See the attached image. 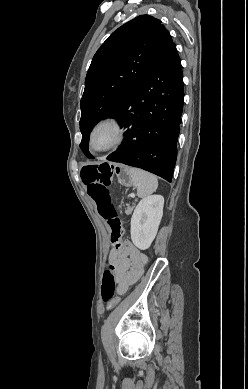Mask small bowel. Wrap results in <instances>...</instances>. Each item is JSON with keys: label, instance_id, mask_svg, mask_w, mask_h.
Segmentation results:
<instances>
[{"label": "small bowel", "instance_id": "small-bowel-1", "mask_svg": "<svg viewBox=\"0 0 248 389\" xmlns=\"http://www.w3.org/2000/svg\"><path fill=\"white\" fill-rule=\"evenodd\" d=\"M109 262L117 269V293L123 295L141 277L148 258L132 243L123 241L119 248L111 250Z\"/></svg>", "mask_w": 248, "mask_h": 389}]
</instances>
